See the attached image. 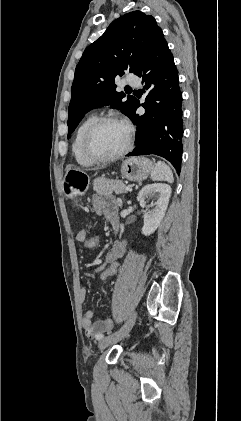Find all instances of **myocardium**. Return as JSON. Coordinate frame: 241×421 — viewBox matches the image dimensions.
I'll return each mask as SVG.
<instances>
[{"mask_svg": "<svg viewBox=\"0 0 241 421\" xmlns=\"http://www.w3.org/2000/svg\"><path fill=\"white\" fill-rule=\"evenodd\" d=\"M109 122L121 123L126 126L127 141H126L125 146L118 152L111 155H100L93 150L92 140L96 131L103 124L109 123ZM133 137H134L133 129L127 122L123 121L122 119L116 116H103V117L97 118L86 130L83 137V141H82V149H83L84 154L93 162H97V163L109 162V161H113V160L121 158L122 156H124L130 151L133 144Z\"/></svg>", "mask_w": 241, "mask_h": 421, "instance_id": "myocardium-1", "label": "myocardium"}]
</instances>
